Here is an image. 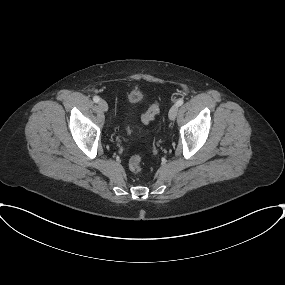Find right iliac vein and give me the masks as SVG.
I'll use <instances>...</instances> for the list:
<instances>
[{"label": "right iliac vein", "mask_w": 285, "mask_h": 285, "mask_svg": "<svg viewBox=\"0 0 285 285\" xmlns=\"http://www.w3.org/2000/svg\"><path fill=\"white\" fill-rule=\"evenodd\" d=\"M98 106L104 112H106L108 110V104L105 100H100L98 103Z\"/></svg>", "instance_id": "obj_1"}]
</instances>
